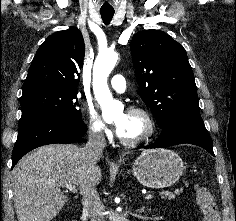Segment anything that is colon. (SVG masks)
<instances>
[{
	"mask_svg": "<svg viewBox=\"0 0 236 221\" xmlns=\"http://www.w3.org/2000/svg\"><path fill=\"white\" fill-rule=\"evenodd\" d=\"M194 195L202 212V221H220L219 212L210 190L204 186H195Z\"/></svg>",
	"mask_w": 236,
	"mask_h": 221,
	"instance_id": "obj_1",
	"label": "colon"
}]
</instances>
